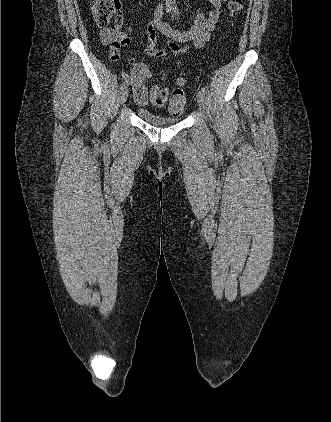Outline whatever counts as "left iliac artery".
Instances as JSON below:
<instances>
[{
    "mask_svg": "<svg viewBox=\"0 0 331 422\" xmlns=\"http://www.w3.org/2000/svg\"><path fill=\"white\" fill-rule=\"evenodd\" d=\"M201 92H202L203 94H205V93H206V89H205V87H201Z\"/></svg>",
    "mask_w": 331,
    "mask_h": 422,
    "instance_id": "1",
    "label": "left iliac artery"
}]
</instances>
